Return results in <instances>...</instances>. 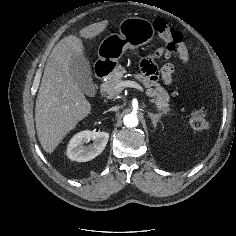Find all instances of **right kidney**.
<instances>
[{
    "label": "right kidney",
    "instance_id": "1",
    "mask_svg": "<svg viewBox=\"0 0 236 236\" xmlns=\"http://www.w3.org/2000/svg\"><path fill=\"white\" fill-rule=\"evenodd\" d=\"M109 134L85 130L76 134L69 142L67 156L72 161L86 162L98 156L106 147ZM90 140L92 144L85 146Z\"/></svg>",
    "mask_w": 236,
    "mask_h": 236
}]
</instances>
